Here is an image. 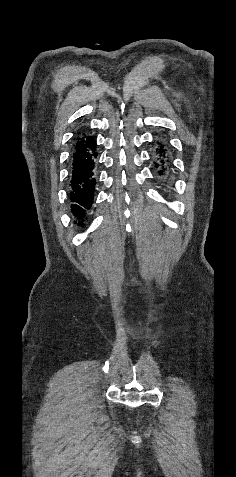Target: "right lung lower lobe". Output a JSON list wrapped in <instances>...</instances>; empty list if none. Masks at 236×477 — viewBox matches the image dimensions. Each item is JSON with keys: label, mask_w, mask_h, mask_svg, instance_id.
<instances>
[{"label": "right lung lower lobe", "mask_w": 236, "mask_h": 477, "mask_svg": "<svg viewBox=\"0 0 236 477\" xmlns=\"http://www.w3.org/2000/svg\"><path fill=\"white\" fill-rule=\"evenodd\" d=\"M97 158L96 142L82 132L75 139L72 150L71 181L69 198L71 211L78 218L85 216L91 207L96 184L94 167Z\"/></svg>", "instance_id": "98d812e1"}]
</instances>
